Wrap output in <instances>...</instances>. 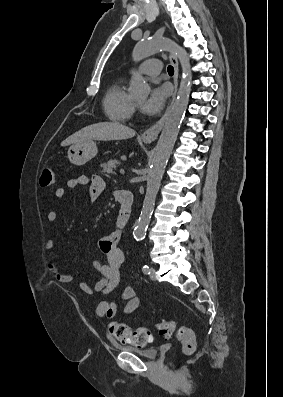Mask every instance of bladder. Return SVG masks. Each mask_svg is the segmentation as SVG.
<instances>
[{"instance_id": "31cf9c89", "label": "bladder", "mask_w": 283, "mask_h": 397, "mask_svg": "<svg viewBox=\"0 0 283 397\" xmlns=\"http://www.w3.org/2000/svg\"><path fill=\"white\" fill-rule=\"evenodd\" d=\"M117 348H119L123 351H126V352H131V353L137 354V355L147 358V359H153L158 354V349L156 347L137 348V347L130 346V345H119V346H117Z\"/></svg>"}]
</instances>
